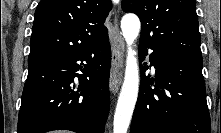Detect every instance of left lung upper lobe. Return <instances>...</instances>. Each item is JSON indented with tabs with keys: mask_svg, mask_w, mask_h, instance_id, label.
<instances>
[{
	"mask_svg": "<svg viewBox=\"0 0 221 133\" xmlns=\"http://www.w3.org/2000/svg\"><path fill=\"white\" fill-rule=\"evenodd\" d=\"M141 20L140 41L202 57L194 0H122Z\"/></svg>",
	"mask_w": 221,
	"mask_h": 133,
	"instance_id": "left-lung-upper-lobe-1",
	"label": "left lung upper lobe"
}]
</instances>
